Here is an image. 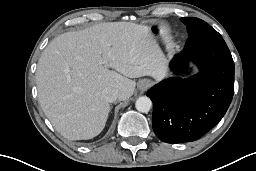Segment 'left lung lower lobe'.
Instances as JSON below:
<instances>
[{
    "instance_id": "1",
    "label": "left lung lower lobe",
    "mask_w": 256,
    "mask_h": 171,
    "mask_svg": "<svg viewBox=\"0 0 256 171\" xmlns=\"http://www.w3.org/2000/svg\"><path fill=\"white\" fill-rule=\"evenodd\" d=\"M189 60L199 67L198 74L166 79L146 93L154 105L153 130L166 143L202 137L222 119L234 94V62L222 37H189L170 67L181 71Z\"/></svg>"
}]
</instances>
